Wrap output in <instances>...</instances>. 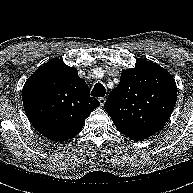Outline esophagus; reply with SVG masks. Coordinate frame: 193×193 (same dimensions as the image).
I'll use <instances>...</instances> for the list:
<instances>
[{
  "label": "esophagus",
  "instance_id": "34e87169",
  "mask_svg": "<svg viewBox=\"0 0 193 193\" xmlns=\"http://www.w3.org/2000/svg\"><path fill=\"white\" fill-rule=\"evenodd\" d=\"M98 101H99V103L101 104V106H103V105L105 104V102H106V98H105V97H100V98L98 99Z\"/></svg>",
  "mask_w": 193,
  "mask_h": 193
}]
</instances>
